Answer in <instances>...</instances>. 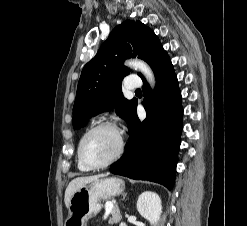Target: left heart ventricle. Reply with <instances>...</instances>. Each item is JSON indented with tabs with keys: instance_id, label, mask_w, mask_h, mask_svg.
<instances>
[{
	"instance_id": "1",
	"label": "left heart ventricle",
	"mask_w": 247,
	"mask_h": 226,
	"mask_svg": "<svg viewBox=\"0 0 247 226\" xmlns=\"http://www.w3.org/2000/svg\"><path fill=\"white\" fill-rule=\"evenodd\" d=\"M118 148V136L111 129H99L84 141L83 154L86 161L98 165L109 160Z\"/></svg>"
}]
</instances>
